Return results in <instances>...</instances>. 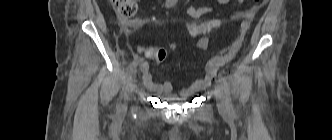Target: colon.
<instances>
[{"label": "colon", "instance_id": "colon-1", "mask_svg": "<svg viewBox=\"0 0 332 140\" xmlns=\"http://www.w3.org/2000/svg\"><path fill=\"white\" fill-rule=\"evenodd\" d=\"M267 0H253L255 4H261ZM111 4L117 13L123 18H131L137 12L136 0H110ZM219 26L218 20L210 19L200 23L197 22H183L181 30L190 34L191 36H204L211 30ZM147 55L157 62L165 59L166 52L162 48H150L147 50Z\"/></svg>", "mask_w": 332, "mask_h": 140}]
</instances>
